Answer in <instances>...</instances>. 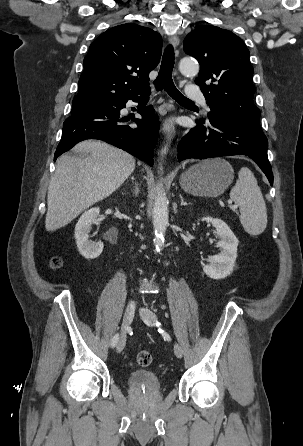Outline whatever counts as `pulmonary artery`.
Segmentation results:
<instances>
[{
  "label": "pulmonary artery",
  "mask_w": 303,
  "mask_h": 446,
  "mask_svg": "<svg viewBox=\"0 0 303 446\" xmlns=\"http://www.w3.org/2000/svg\"><path fill=\"white\" fill-rule=\"evenodd\" d=\"M186 94L189 99L202 102L206 106L204 95L197 86L189 85ZM206 109H208L207 106Z\"/></svg>",
  "instance_id": "e3ab8cb5"
}]
</instances>
